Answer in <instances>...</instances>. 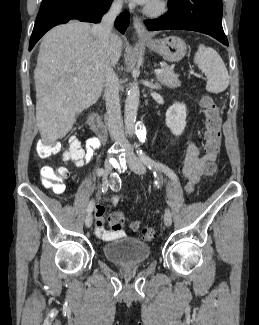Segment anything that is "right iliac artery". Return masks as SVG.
<instances>
[{
  "label": "right iliac artery",
  "instance_id": "1",
  "mask_svg": "<svg viewBox=\"0 0 259 325\" xmlns=\"http://www.w3.org/2000/svg\"><path fill=\"white\" fill-rule=\"evenodd\" d=\"M104 174V169L103 168H99L98 170H97V175L99 176V177H101L102 175ZM94 200H91L90 202H89V204H88V207H87V212L88 213H90V212H92L93 211V209H94Z\"/></svg>",
  "mask_w": 259,
  "mask_h": 325
}]
</instances>
